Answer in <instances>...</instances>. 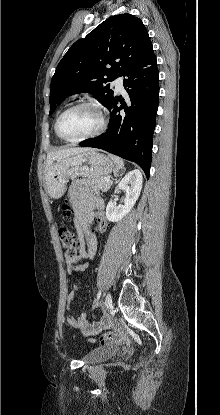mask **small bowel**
Segmentation results:
<instances>
[{"instance_id": "obj_1", "label": "small bowel", "mask_w": 220, "mask_h": 415, "mask_svg": "<svg viewBox=\"0 0 220 415\" xmlns=\"http://www.w3.org/2000/svg\"><path fill=\"white\" fill-rule=\"evenodd\" d=\"M71 205L74 210V225L76 229L79 257L75 260L68 259L70 270L83 271L88 266V261L93 259L97 247V234L103 233L107 228V220L103 214L105 204L99 195L98 189L90 180H78L71 189ZM79 286L76 285L74 291L68 295V309L76 298ZM68 326L77 329L80 334L87 338L89 343H99L104 346L114 345L115 337L111 334L100 335L103 330L111 327L109 320L103 319L97 323L87 319L84 312L75 316L69 314L66 317ZM99 340L95 339L98 336ZM111 335V336H109Z\"/></svg>"}]
</instances>
